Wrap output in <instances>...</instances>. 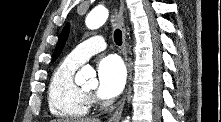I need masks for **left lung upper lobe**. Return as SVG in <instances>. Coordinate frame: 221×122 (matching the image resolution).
<instances>
[{
    "label": "left lung upper lobe",
    "instance_id": "left-lung-upper-lobe-1",
    "mask_svg": "<svg viewBox=\"0 0 221 122\" xmlns=\"http://www.w3.org/2000/svg\"><path fill=\"white\" fill-rule=\"evenodd\" d=\"M69 27H70L69 24H67L64 27V29L62 30L61 36H60L59 41L57 43V46L54 51V55H53L51 62H54L57 59V57L59 56L60 52L62 51V49L65 45V42L67 40L68 34H69Z\"/></svg>",
    "mask_w": 221,
    "mask_h": 122
}]
</instances>
